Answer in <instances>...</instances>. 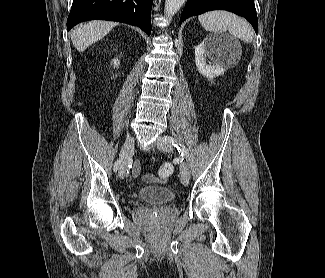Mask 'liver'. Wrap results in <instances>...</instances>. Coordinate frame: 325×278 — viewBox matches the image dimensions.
Masks as SVG:
<instances>
[{"label": "liver", "instance_id": "obj_1", "mask_svg": "<svg viewBox=\"0 0 325 278\" xmlns=\"http://www.w3.org/2000/svg\"><path fill=\"white\" fill-rule=\"evenodd\" d=\"M116 25L117 23L108 21H90L79 25L71 32L72 43L79 52L84 51L89 45L102 39Z\"/></svg>", "mask_w": 325, "mask_h": 278}]
</instances>
